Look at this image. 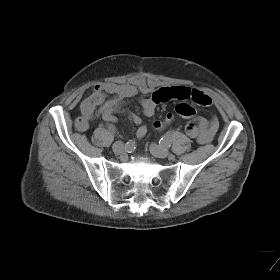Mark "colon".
Wrapping results in <instances>:
<instances>
[{"instance_id": "1", "label": "colon", "mask_w": 280, "mask_h": 280, "mask_svg": "<svg viewBox=\"0 0 280 280\" xmlns=\"http://www.w3.org/2000/svg\"><path fill=\"white\" fill-rule=\"evenodd\" d=\"M176 114L185 118H191L195 115V109L187 104V103H181L178 104L175 108ZM174 120V115L168 114L165 119L159 120L154 122V128L157 130H161L168 126L170 123H172ZM76 126L78 129H83L86 126V121L80 117L76 121ZM195 127L190 126L189 131H194Z\"/></svg>"}]
</instances>
